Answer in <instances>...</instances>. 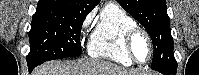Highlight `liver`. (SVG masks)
Instances as JSON below:
<instances>
[{"label": "liver", "mask_w": 199, "mask_h": 75, "mask_svg": "<svg viewBox=\"0 0 199 75\" xmlns=\"http://www.w3.org/2000/svg\"><path fill=\"white\" fill-rule=\"evenodd\" d=\"M32 75H139V72L103 60L80 59L65 63L47 62L37 67Z\"/></svg>", "instance_id": "6515ba94"}]
</instances>
